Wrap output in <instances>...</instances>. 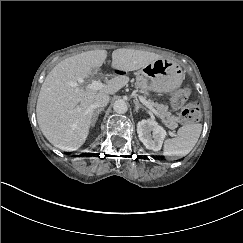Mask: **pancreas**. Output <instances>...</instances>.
<instances>
[{
    "label": "pancreas",
    "instance_id": "cf45deb5",
    "mask_svg": "<svg viewBox=\"0 0 243 243\" xmlns=\"http://www.w3.org/2000/svg\"><path fill=\"white\" fill-rule=\"evenodd\" d=\"M152 106H154L158 111V116L162 119V122L171 130H174L178 127V117L172 115L168 112V106L164 104H159L153 102L152 100H147Z\"/></svg>",
    "mask_w": 243,
    "mask_h": 243
}]
</instances>
